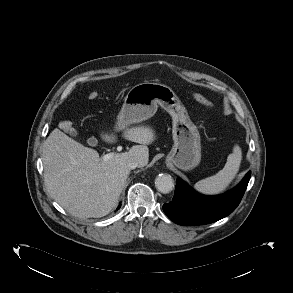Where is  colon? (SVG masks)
I'll return each instance as SVG.
<instances>
[{
  "label": "colon",
  "mask_w": 293,
  "mask_h": 293,
  "mask_svg": "<svg viewBox=\"0 0 293 293\" xmlns=\"http://www.w3.org/2000/svg\"><path fill=\"white\" fill-rule=\"evenodd\" d=\"M193 97L197 102H199L200 104H202V105H204L206 107H212L213 106L212 102L209 99H207L205 96L200 94V93H195L193 95ZM88 98L90 100H94V99L98 98V93L96 91H92V92L89 93ZM71 127H72V123L70 121H63L60 124V128L62 130H64V131L70 130Z\"/></svg>",
  "instance_id": "1"
}]
</instances>
